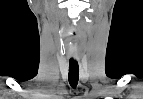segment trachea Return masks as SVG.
I'll return each mask as SVG.
<instances>
[{"label":"trachea","mask_w":143,"mask_h":99,"mask_svg":"<svg viewBox=\"0 0 143 99\" xmlns=\"http://www.w3.org/2000/svg\"><path fill=\"white\" fill-rule=\"evenodd\" d=\"M79 79V66L77 61L69 62V83L71 87L75 88Z\"/></svg>","instance_id":"trachea-1"}]
</instances>
